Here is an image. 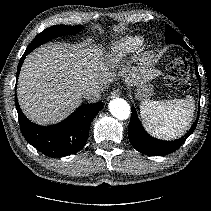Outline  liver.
Returning <instances> with one entry per match:
<instances>
[{"mask_svg": "<svg viewBox=\"0 0 211 211\" xmlns=\"http://www.w3.org/2000/svg\"><path fill=\"white\" fill-rule=\"evenodd\" d=\"M98 51L50 43L31 52L17 86L24 114L40 125L60 122L81 104L84 90L112 82L115 74L102 62Z\"/></svg>", "mask_w": 211, "mask_h": 211, "instance_id": "1", "label": "liver"}]
</instances>
